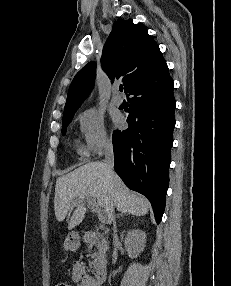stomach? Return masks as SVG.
<instances>
[{
	"label": "stomach",
	"mask_w": 231,
	"mask_h": 286,
	"mask_svg": "<svg viewBox=\"0 0 231 286\" xmlns=\"http://www.w3.org/2000/svg\"><path fill=\"white\" fill-rule=\"evenodd\" d=\"M80 245V236L76 232H70L65 239L64 248L66 250L75 251Z\"/></svg>",
	"instance_id": "obj_1"
}]
</instances>
